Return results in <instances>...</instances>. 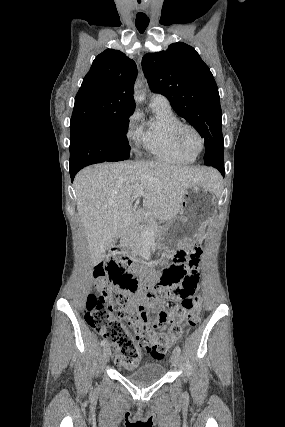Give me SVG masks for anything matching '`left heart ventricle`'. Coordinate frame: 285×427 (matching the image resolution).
I'll return each instance as SVG.
<instances>
[{"mask_svg": "<svg viewBox=\"0 0 285 427\" xmlns=\"http://www.w3.org/2000/svg\"><path fill=\"white\" fill-rule=\"evenodd\" d=\"M182 140L188 150L192 152H196L197 150H199V147H200L199 140L195 135V133H193L192 131L190 130L184 131L182 134Z\"/></svg>", "mask_w": 285, "mask_h": 427, "instance_id": "obj_1", "label": "left heart ventricle"}]
</instances>
